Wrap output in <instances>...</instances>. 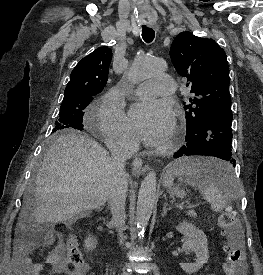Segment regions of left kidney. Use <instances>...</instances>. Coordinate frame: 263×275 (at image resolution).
<instances>
[{"instance_id": "obj_1", "label": "left kidney", "mask_w": 263, "mask_h": 275, "mask_svg": "<svg viewBox=\"0 0 263 275\" xmlns=\"http://www.w3.org/2000/svg\"><path fill=\"white\" fill-rule=\"evenodd\" d=\"M176 230L185 237L182 248L185 252L196 254L195 263H180V267L188 274H193L208 262L209 251L207 237L202 230L196 228L192 223L182 222Z\"/></svg>"}]
</instances>
